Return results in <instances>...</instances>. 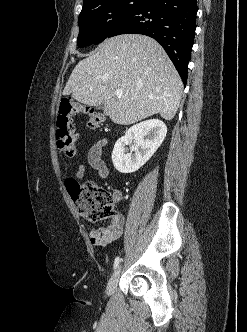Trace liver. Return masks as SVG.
Listing matches in <instances>:
<instances>
[{
	"label": "liver",
	"instance_id": "obj_1",
	"mask_svg": "<svg viewBox=\"0 0 247 332\" xmlns=\"http://www.w3.org/2000/svg\"><path fill=\"white\" fill-rule=\"evenodd\" d=\"M121 89L118 97L115 90ZM183 84L163 48L152 38L125 34L106 39L73 69L64 95L88 106L104 103L106 116L130 125L160 114L174 118Z\"/></svg>",
	"mask_w": 247,
	"mask_h": 332
}]
</instances>
